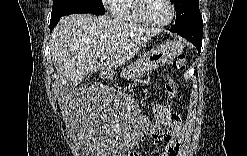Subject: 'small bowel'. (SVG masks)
Here are the masks:
<instances>
[{
	"mask_svg": "<svg viewBox=\"0 0 247 156\" xmlns=\"http://www.w3.org/2000/svg\"><path fill=\"white\" fill-rule=\"evenodd\" d=\"M153 107H158V104H155ZM166 113H168V118H165L164 123L161 124L163 125V130H160L159 135L152 140L163 147V150L160 152L161 155L173 156L181 151L180 143L184 137V128L178 114L173 112ZM130 155L139 156L141 152L132 151Z\"/></svg>",
	"mask_w": 247,
	"mask_h": 156,
	"instance_id": "small-bowel-1",
	"label": "small bowel"
}]
</instances>
